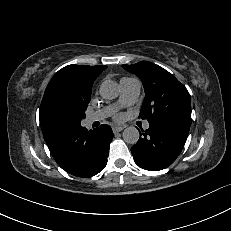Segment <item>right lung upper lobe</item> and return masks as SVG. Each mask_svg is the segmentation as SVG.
Instances as JSON below:
<instances>
[{
  "mask_svg": "<svg viewBox=\"0 0 231 231\" xmlns=\"http://www.w3.org/2000/svg\"><path fill=\"white\" fill-rule=\"evenodd\" d=\"M107 66L68 65L50 80L40 106L39 119L44 140L55 142L71 126L54 116L53 103L59 98L88 105L94 80Z\"/></svg>",
  "mask_w": 231,
  "mask_h": 231,
  "instance_id": "cb5924a9",
  "label": "right lung upper lobe"
}]
</instances>
